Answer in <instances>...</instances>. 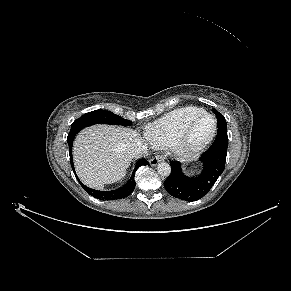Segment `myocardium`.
<instances>
[{
	"mask_svg": "<svg viewBox=\"0 0 291 291\" xmlns=\"http://www.w3.org/2000/svg\"><path fill=\"white\" fill-rule=\"evenodd\" d=\"M206 117H210L213 120V129L210 134L200 142H194L192 140V133L196 125ZM217 133V120L214 115L209 113H203L194 118L183 130V132L173 142L172 146L175 152L182 157H190L198 154L204 150L214 139Z\"/></svg>",
	"mask_w": 291,
	"mask_h": 291,
	"instance_id": "f54148a6",
	"label": "myocardium"
}]
</instances>
